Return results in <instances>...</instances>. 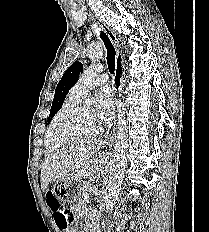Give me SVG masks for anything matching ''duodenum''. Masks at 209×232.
I'll list each match as a JSON object with an SVG mask.
<instances>
[{
  "mask_svg": "<svg viewBox=\"0 0 209 232\" xmlns=\"http://www.w3.org/2000/svg\"><path fill=\"white\" fill-rule=\"evenodd\" d=\"M92 232H100V229L96 223L92 224Z\"/></svg>",
  "mask_w": 209,
  "mask_h": 232,
  "instance_id": "1",
  "label": "duodenum"
}]
</instances>
